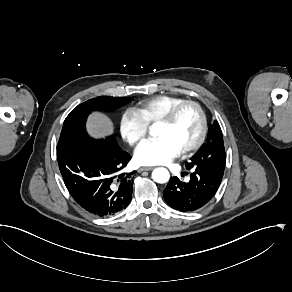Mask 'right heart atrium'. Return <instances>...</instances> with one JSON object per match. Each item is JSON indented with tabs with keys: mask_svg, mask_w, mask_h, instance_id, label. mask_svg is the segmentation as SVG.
Instances as JSON below:
<instances>
[{
	"mask_svg": "<svg viewBox=\"0 0 292 292\" xmlns=\"http://www.w3.org/2000/svg\"><path fill=\"white\" fill-rule=\"evenodd\" d=\"M119 132L131 145L140 142L146 135L148 125L134 108H126L120 115Z\"/></svg>",
	"mask_w": 292,
	"mask_h": 292,
	"instance_id": "obj_1",
	"label": "right heart atrium"
}]
</instances>
